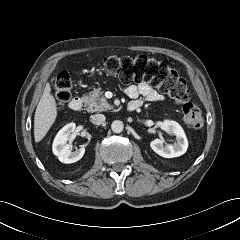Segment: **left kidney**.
Listing matches in <instances>:
<instances>
[{"instance_id": "5707ae66", "label": "left kidney", "mask_w": 240, "mask_h": 240, "mask_svg": "<svg viewBox=\"0 0 240 240\" xmlns=\"http://www.w3.org/2000/svg\"><path fill=\"white\" fill-rule=\"evenodd\" d=\"M163 128L176 136V142L173 145L164 146L162 140L157 138L150 143L152 150L164 158H174L183 155L187 151L188 141L182 127L175 121L165 120Z\"/></svg>"}]
</instances>
